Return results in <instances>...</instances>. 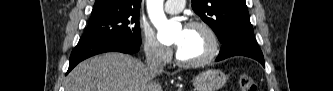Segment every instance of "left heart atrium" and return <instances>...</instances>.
Listing matches in <instances>:
<instances>
[{"label": "left heart atrium", "instance_id": "39dd6f15", "mask_svg": "<svg viewBox=\"0 0 333 91\" xmlns=\"http://www.w3.org/2000/svg\"><path fill=\"white\" fill-rule=\"evenodd\" d=\"M179 46H180V42L176 43L177 49L179 48Z\"/></svg>", "mask_w": 333, "mask_h": 91}]
</instances>
